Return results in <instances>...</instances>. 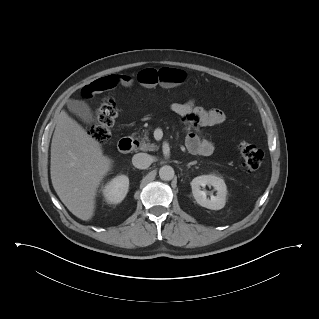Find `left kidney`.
I'll return each instance as SVG.
<instances>
[{"label": "left kidney", "instance_id": "1", "mask_svg": "<svg viewBox=\"0 0 319 319\" xmlns=\"http://www.w3.org/2000/svg\"><path fill=\"white\" fill-rule=\"evenodd\" d=\"M190 184L193 196L199 205L211 210H220L225 206L227 187L221 177L215 175H202L195 177ZM206 185L214 187L217 191L216 196L212 195L210 199L207 198L206 191L201 190V187L205 188Z\"/></svg>", "mask_w": 319, "mask_h": 319}]
</instances>
